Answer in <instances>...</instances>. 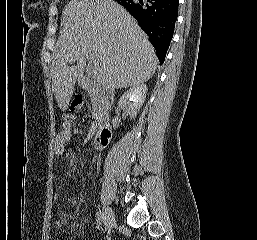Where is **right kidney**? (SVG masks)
Listing matches in <instances>:
<instances>
[{"instance_id":"1","label":"right kidney","mask_w":257,"mask_h":240,"mask_svg":"<svg viewBox=\"0 0 257 240\" xmlns=\"http://www.w3.org/2000/svg\"><path fill=\"white\" fill-rule=\"evenodd\" d=\"M147 93V86L140 84L131 87L120 98L118 105L126 110L131 118H135L142 107Z\"/></svg>"}]
</instances>
